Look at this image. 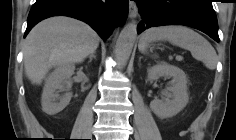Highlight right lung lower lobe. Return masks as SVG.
I'll use <instances>...</instances> for the list:
<instances>
[{"mask_svg":"<svg viewBox=\"0 0 236 140\" xmlns=\"http://www.w3.org/2000/svg\"><path fill=\"white\" fill-rule=\"evenodd\" d=\"M128 0H36L28 16L24 37L41 20L64 15L88 23L107 39L113 28L125 23Z\"/></svg>","mask_w":236,"mask_h":140,"instance_id":"right-lung-lower-lobe-1","label":"right lung lower lobe"}]
</instances>
